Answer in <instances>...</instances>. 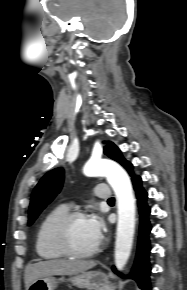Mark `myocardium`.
<instances>
[{
	"instance_id": "obj_1",
	"label": "myocardium",
	"mask_w": 187,
	"mask_h": 290,
	"mask_svg": "<svg viewBox=\"0 0 187 290\" xmlns=\"http://www.w3.org/2000/svg\"><path fill=\"white\" fill-rule=\"evenodd\" d=\"M87 217V213L82 210H72L65 213L55 224L53 237L58 249L68 257L89 258L95 255L101 248V241L87 251L77 250L71 242L70 231L74 221Z\"/></svg>"
}]
</instances>
